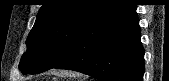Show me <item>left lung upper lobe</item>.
Here are the masks:
<instances>
[{"label": "left lung upper lobe", "mask_w": 169, "mask_h": 81, "mask_svg": "<svg viewBox=\"0 0 169 81\" xmlns=\"http://www.w3.org/2000/svg\"><path fill=\"white\" fill-rule=\"evenodd\" d=\"M115 0H46L26 40L23 74L52 69L64 60L81 32Z\"/></svg>", "instance_id": "left-lung-upper-lobe-1"}]
</instances>
